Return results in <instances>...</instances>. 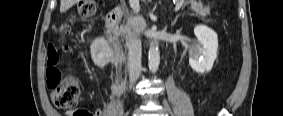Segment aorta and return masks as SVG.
<instances>
[{
    "mask_svg": "<svg viewBox=\"0 0 283 116\" xmlns=\"http://www.w3.org/2000/svg\"><path fill=\"white\" fill-rule=\"evenodd\" d=\"M159 64H160V52L158 49V44L156 42H153L150 45L149 54H148V65L150 71L152 73H155L159 68Z\"/></svg>",
    "mask_w": 283,
    "mask_h": 116,
    "instance_id": "762f6f07",
    "label": "aorta"
}]
</instances>
